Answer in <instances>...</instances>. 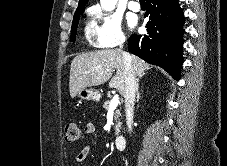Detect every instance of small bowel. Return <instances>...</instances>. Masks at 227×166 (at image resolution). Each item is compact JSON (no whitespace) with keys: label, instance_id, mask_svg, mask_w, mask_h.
<instances>
[{"label":"small bowel","instance_id":"small-bowel-1","mask_svg":"<svg viewBox=\"0 0 227 166\" xmlns=\"http://www.w3.org/2000/svg\"><path fill=\"white\" fill-rule=\"evenodd\" d=\"M95 125L93 123H88L85 126V132L87 134H92L95 132ZM92 150L91 146H86L84 147L77 155H76V162L78 163V165H80L81 162H83L86 157L90 154Z\"/></svg>","mask_w":227,"mask_h":166}]
</instances>
